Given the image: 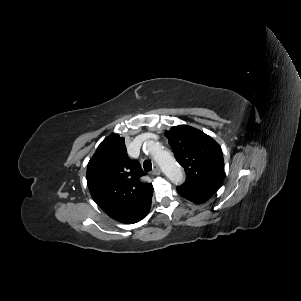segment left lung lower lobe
<instances>
[{"instance_id": "left-lung-lower-lobe-1", "label": "left lung lower lobe", "mask_w": 301, "mask_h": 301, "mask_svg": "<svg viewBox=\"0 0 301 301\" xmlns=\"http://www.w3.org/2000/svg\"><path fill=\"white\" fill-rule=\"evenodd\" d=\"M177 192L182 197H184L194 203H197V204L204 203L205 201H207L214 195V193H211V192L193 190V189H188V188H184L181 186L177 187Z\"/></svg>"}]
</instances>
